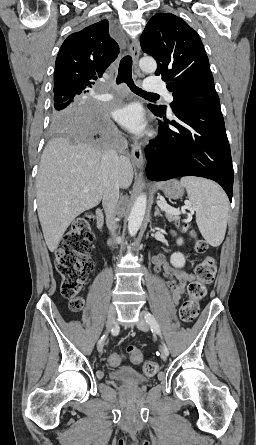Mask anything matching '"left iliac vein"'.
I'll use <instances>...</instances> for the list:
<instances>
[{
  "instance_id": "left-iliac-vein-1",
  "label": "left iliac vein",
  "mask_w": 256,
  "mask_h": 445,
  "mask_svg": "<svg viewBox=\"0 0 256 445\" xmlns=\"http://www.w3.org/2000/svg\"><path fill=\"white\" fill-rule=\"evenodd\" d=\"M137 328L143 332H147L148 331V324L145 321V319L143 318V316L140 317V320L137 322ZM167 356L164 351H161V358L162 360L166 361L167 360Z\"/></svg>"
}]
</instances>
